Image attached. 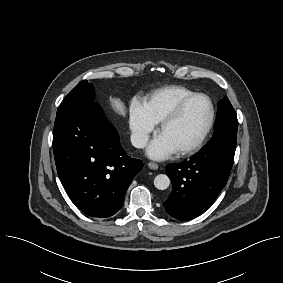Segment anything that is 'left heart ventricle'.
<instances>
[{
  "mask_svg": "<svg viewBox=\"0 0 283 283\" xmlns=\"http://www.w3.org/2000/svg\"><path fill=\"white\" fill-rule=\"evenodd\" d=\"M210 112V103L207 99H195L185 108L181 116L160 135L176 151L186 148L200 138L208 124Z\"/></svg>",
  "mask_w": 283,
  "mask_h": 283,
  "instance_id": "b2bd125f",
  "label": "left heart ventricle"
}]
</instances>
